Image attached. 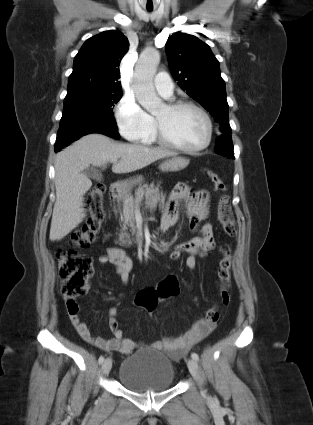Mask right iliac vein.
<instances>
[{"mask_svg": "<svg viewBox=\"0 0 313 425\" xmlns=\"http://www.w3.org/2000/svg\"><path fill=\"white\" fill-rule=\"evenodd\" d=\"M112 367V360L110 358H107L104 360L102 364V372L104 375H108Z\"/></svg>", "mask_w": 313, "mask_h": 425, "instance_id": "1", "label": "right iliac vein"}]
</instances>
